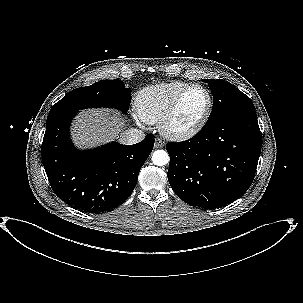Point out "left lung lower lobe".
<instances>
[{"label": "left lung lower lobe", "instance_id": "1", "mask_svg": "<svg viewBox=\"0 0 303 303\" xmlns=\"http://www.w3.org/2000/svg\"><path fill=\"white\" fill-rule=\"evenodd\" d=\"M261 145L256 112L206 123L193 138L166 145L169 183L191 206L221 208L250 187Z\"/></svg>", "mask_w": 303, "mask_h": 303}]
</instances>
